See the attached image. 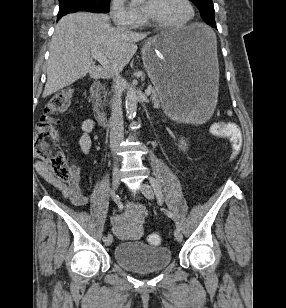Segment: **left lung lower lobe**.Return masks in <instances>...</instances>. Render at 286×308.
<instances>
[{
    "instance_id": "0a47b994",
    "label": "left lung lower lobe",
    "mask_w": 286,
    "mask_h": 308,
    "mask_svg": "<svg viewBox=\"0 0 286 308\" xmlns=\"http://www.w3.org/2000/svg\"><path fill=\"white\" fill-rule=\"evenodd\" d=\"M207 24L211 25V26H212V27H214V28H217V27H216V23H215V21H213V22H209V23H207Z\"/></svg>"
}]
</instances>
